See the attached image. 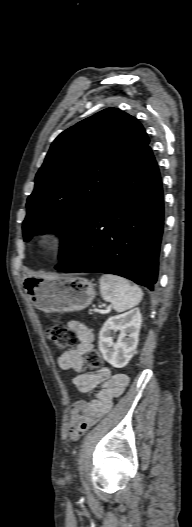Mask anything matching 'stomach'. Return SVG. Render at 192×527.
<instances>
[{"mask_svg":"<svg viewBox=\"0 0 192 527\" xmlns=\"http://www.w3.org/2000/svg\"><path fill=\"white\" fill-rule=\"evenodd\" d=\"M24 287L34 305L49 313L81 311L96 296L94 284L82 277L31 276L25 278Z\"/></svg>","mask_w":192,"mask_h":527,"instance_id":"obj_1","label":"stomach"}]
</instances>
